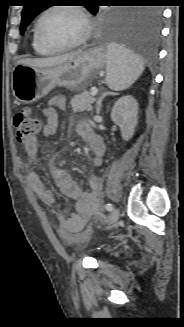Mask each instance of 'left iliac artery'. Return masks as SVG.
<instances>
[{
	"instance_id": "44dca946",
	"label": "left iliac artery",
	"mask_w": 184,
	"mask_h": 327,
	"mask_svg": "<svg viewBox=\"0 0 184 327\" xmlns=\"http://www.w3.org/2000/svg\"><path fill=\"white\" fill-rule=\"evenodd\" d=\"M105 208H106V210H108V211H112V210H113V205H112L111 203H107V204L105 205Z\"/></svg>"
}]
</instances>
